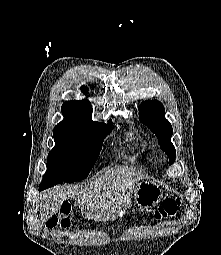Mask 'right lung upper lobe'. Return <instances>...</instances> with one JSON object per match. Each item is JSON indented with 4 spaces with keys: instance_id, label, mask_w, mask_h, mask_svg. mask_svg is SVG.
<instances>
[{
    "instance_id": "1",
    "label": "right lung upper lobe",
    "mask_w": 221,
    "mask_h": 255,
    "mask_svg": "<svg viewBox=\"0 0 221 255\" xmlns=\"http://www.w3.org/2000/svg\"><path fill=\"white\" fill-rule=\"evenodd\" d=\"M82 92L87 94L88 88L85 86L81 87ZM62 114L64 120L57 126L60 127H71L84 130H97L100 123L93 122L91 119L92 106L88 100H71L66 101L62 105Z\"/></svg>"
}]
</instances>
